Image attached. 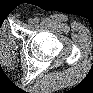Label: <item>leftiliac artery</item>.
<instances>
[{
    "label": "left iliac artery",
    "instance_id": "obj_1",
    "mask_svg": "<svg viewBox=\"0 0 93 93\" xmlns=\"http://www.w3.org/2000/svg\"><path fill=\"white\" fill-rule=\"evenodd\" d=\"M34 22H35V23H38V22H39V18L36 17V18L34 19Z\"/></svg>",
    "mask_w": 93,
    "mask_h": 93
}]
</instances>
